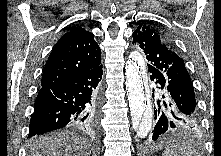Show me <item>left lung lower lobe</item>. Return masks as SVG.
Instances as JSON below:
<instances>
[{
  "instance_id": "1",
  "label": "left lung lower lobe",
  "mask_w": 221,
  "mask_h": 156,
  "mask_svg": "<svg viewBox=\"0 0 221 156\" xmlns=\"http://www.w3.org/2000/svg\"><path fill=\"white\" fill-rule=\"evenodd\" d=\"M153 83L152 96L155 101L154 128L152 141H158L167 135L194 128L199 118L179 108L169 93L167 76L157 69H148Z\"/></svg>"
}]
</instances>
